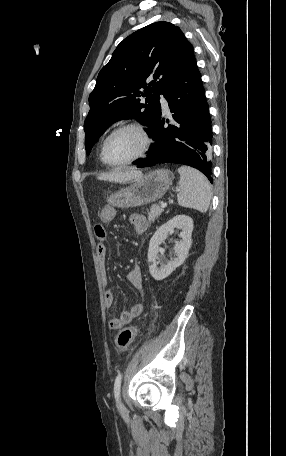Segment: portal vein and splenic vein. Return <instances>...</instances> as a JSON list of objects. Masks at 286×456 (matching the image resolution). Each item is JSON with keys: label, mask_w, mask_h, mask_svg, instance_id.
I'll list each match as a JSON object with an SVG mask.
<instances>
[{"label": "portal vein and splenic vein", "mask_w": 286, "mask_h": 456, "mask_svg": "<svg viewBox=\"0 0 286 456\" xmlns=\"http://www.w3.org/2000/svg\"><path fill=\"white\" fill-rule=\"evenodd\" d=\"M166 206H167V203H166V202H162V203H161V207H162V208H165Z\"/></svg>", "instance_id": "obj_1"}]
</instances>
